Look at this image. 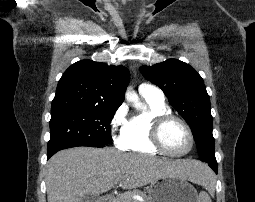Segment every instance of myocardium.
<instances>
[{"mask_svg":"<svg viewBox=\"0 0 255 202\" xmlns=\"http://www.w3.org/2000/svg\"><path fill=\"white\" fill-rule=\"evenodd\" d=\"M172 121L179 122L186 129V131L188 133V136L190 139V144H189L188 149L185 150L184 152H179V153L172 152V151L168 150L165 147V145L163 144L162 131H163L164 127ZM150 141H151L152 145L160 153L169 155V156H173V157H181V156H185L189 152H191V150L194 147L195 138H194V134H193L191 127L184 119H182L179 116L168 113V114L159 115L153 119L151 128H150Z\"/></svg>","mask_w":255,"mask_h":202,"instance_id":"1","label":"myocardium"}]
</instances>
